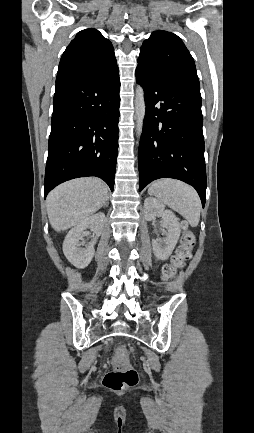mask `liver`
<instances>
[{
    "label": "liver",
    "mask_w": 254,
    "mask_h": 433,
    "mask_svg": "<svg viewBox=\"0 0 254 433\" xmlns=\"http://www.w3.org/2000/svg\"><path fill=\"white\" fill-rule=\"evenodd\" d=\"M108 198L106 184L97 178L74 179L57 186L47 197V213L52 228L66 230L92 216Z\"/></svg>",
    "instance_id": "obj_1"
}]
</instances>
